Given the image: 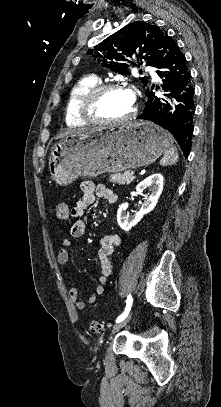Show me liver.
<instances>
[{
    "instance_id": "liver-1",
    "label": "liver",
    "mask_w": 221,
    "mask_h": 407,
    "mask_svg": "<svg viewBox=\"0 0 221 407\" xmlns=\"http://www.w3.org/2000/svg\"><path fill=\"white\" fill-rule=\"evenodd\" d=\"M88 129H67L65 131H61L58 135H56L55 139H61L69 134L73 133H80V132H88Z\"/></svg>"
}]
</instances>
